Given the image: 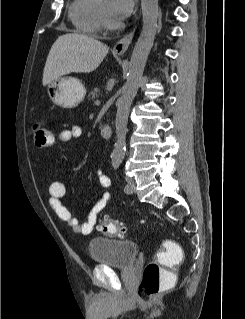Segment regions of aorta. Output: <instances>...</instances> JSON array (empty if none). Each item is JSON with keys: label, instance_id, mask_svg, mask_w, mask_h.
Instances as JSON below:
<instances>
[{"label": "aorta", "instance_id": "762f6f07", "mask_svg": "<svg viewBox=\"0 0 245 319\" xmlns=\"http://www.w3.org/2000/svg\"><path fill=\"white\" fill-rule=\"evenodd\" d=\"M141 8L143 21L142 31L131 56L127 79L122 89L115 120L117 141L114 145L111 158L118 162L125 156L127 123L130 107L137 94L144 67L153 46L157 30L158 0H141Z\"/></svg>", "mask_w": 245, "mask_h": 319}]
</instances>
